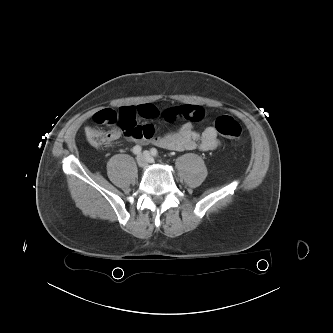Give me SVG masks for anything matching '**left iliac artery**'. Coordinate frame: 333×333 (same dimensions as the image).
I'll list each match as a JSON object with an SVG mask.
<instances>
[{
  "label": "left iliac artery",
  "mask_w": 333,
  "mask_h": 333,
  "mask_svg": "<svg viewBox=\"0 0 333 333\" xmlns=\"http://www.w3.org/2000/svg\"><path fill=\"white\" fill-rule=\"evenodd\" d=\"M150 152H151V154L153 155V156H158V151H157V149L156 148H152L151 150H150Z\"/></svg>",
  "instance_id": "left-iliac-artery-1"
}]
</instances>
